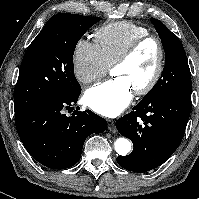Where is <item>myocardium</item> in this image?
Instances as JSON below:
<instances>
[{
	"mask_svg": "<svg viewBox=\"0 0 199 199\" xmlns=\"http://www.w3.org/2000/svg\"><path fill=\"white\" fill-rule=\"evenodd\" d=\"M147 42L155 43L158 50V60L155 70L149 81L144 86L134 89V94L139 96L146 95L149 92H151L162 76L165 62V50L160 38L153 34H147L145 36L137 38L124 50V52L111 65V71H113L115 68L119 66L124 65L132 58V56L137 52V50Z\"/></svg>",
	"mask_w": 199,
	"mask_h": 199,
	"instance_id": "f54148a6",
	"label": "myocardium"
}]
</instances>
